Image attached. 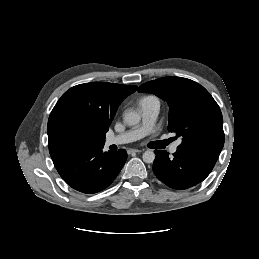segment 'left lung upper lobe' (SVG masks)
Wrapping results in <instances>:
<instances>
[{
    "instance_id": "obj_1",
    "label": "left lung upper lobe",
    "mask_w": 259,
    "mask_h": 259,
    "mask_svg": "<svg viewBox=\"0 0 259 259\" xmlns=\"http://www.w3.org/2000/svg\"><path fill=\"white\" fill-rule=\"evenodd\" d=\"M138 91L155 94L168 103V130L181 137L178 148H223V117L203 86L186 78L164 77L142 84Z\"/></svg>"
}]
</instances>
